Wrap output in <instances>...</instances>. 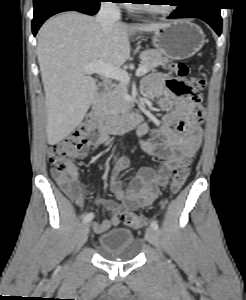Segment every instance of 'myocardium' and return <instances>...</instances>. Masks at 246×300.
<instances>
[{
  "label": "myocardium",
  "mask_w": 246,
  "mask_h": 300,
  "mask_svg": "<svg viewBox=\"0 0 246 300\" xmlns=\"http://www.w3.org/2000/svg\"><path fill=\"white\" fill-rule=\"evenodd\" d=\"M176 5L175 4H171L169 6L168 9L166 10H155V9H152L150 8V6L148 5H141V9L150 13V14H153V15H160V16H168V15H171L172 13H174V11L176 10Z\"/></svg>",
  "instance_id": "myocardium-1"
}]
</instances>
